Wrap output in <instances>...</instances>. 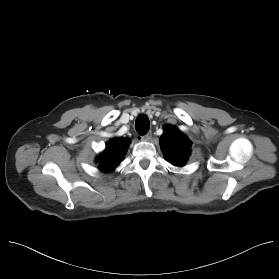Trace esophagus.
<instances>
[{
    "mask_svg": "<svg viewBox=\"0 0 279 279\" xmlns=\"http://www.w3.org/2000/svg\"><path fill=\"white\" fill-rule=\"evenodd\" d=\"M152 137V133L148 132L146 135L140 136V140L142 141H149Z\"/></svg>",
    "mask_w": 279,
    "mask_h": 279,
    "instance_id": "esophagus-1",
    "label": "esophagus"
}]
</instances>
